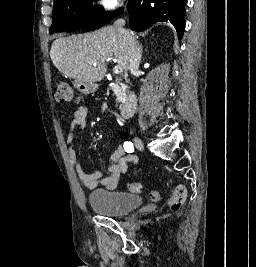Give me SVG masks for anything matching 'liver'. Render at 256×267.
Returning <instances> with one entry per match:
<instances>
[{"mask_svg":"<svg viewBox=\"0 0 256 267\" xmlns=\"http://www.w3.org/2000/svg\"><path fill=\"white\" fill-rule=\"evenodd\" d=\"M131 38L135 40L133 36ZM129 44L127 36L119 34L114 26H105L97 32L54 40L50 58L55 68L68 78L100 82L106 76L105 64L112 56L125 72L129 70Z\"/></svg>","mask_w":256,"mask_h":267,"instance_id":"liver-1","label":"liver"}]
</instances>
